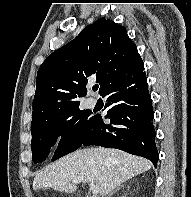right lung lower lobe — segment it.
Returning a JSON list of instances; mask_svg holds the SVG:
<instances>
[{
	"label": "right lung lower lobe",
	"mask_w": 191,
	"mask_h": 197,
	"mask_svg": "<svg viewBox=\"0 0 191 197\" xmlns=\"http://www.w3.org/2000/svg\"><path fill=\"white\" fill-rule=\"evenodd\" d=\"M101 95L107 97L105 118L110 119V124H105L100 115L94 116L82 145L120 149L145 157L156 166L159 154L144 65L111 83Z\"/></svg>",
	"instance_id": "obj_1"
}]
</instances>
